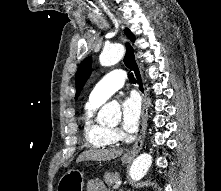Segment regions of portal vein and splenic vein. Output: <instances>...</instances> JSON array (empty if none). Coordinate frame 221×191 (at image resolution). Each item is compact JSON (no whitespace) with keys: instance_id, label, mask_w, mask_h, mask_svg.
<instances>
[{"instance_id":"obj_1","label":"portal vein and splenic vein","mask_w":221,"mask_h":191,"mask_svg":"<svg viewBox=\"0 0 221 191\" xmlns=\"http://www.w3.org/2000/svg\"><path fill=\"white\" fill-rule=\"evenodd\" d=\"M120 187V183H117L114 185V188H119Z\"/></svg>"}]
</instances>
